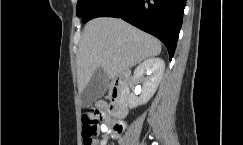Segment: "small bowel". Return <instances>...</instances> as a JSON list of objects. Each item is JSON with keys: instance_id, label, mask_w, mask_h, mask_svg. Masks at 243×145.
Listing matches in <instances>:
<instances>
[{"instance_id": "small-bowel-1", "label": "small bowel", "mask_w": 243, "mask_h": 145, "mask_svg": "<svg viewBox=\"0 0 243 145\" xmlns=\"http://www.w3.org/2000/svg\"><path fill=\"white\" fill-rule=\"evenodd\" d=\"M97 107L99 109L106 108V103L104 101H98ZM102 121L103 124L101 125V136L99 145H106L107 140L109 137L116 138L119 136L121 132H116L112 129L111 125L115 122L113 119H111L108 115H106L104 112H102Z\"/></svg>"}]
</instances>
